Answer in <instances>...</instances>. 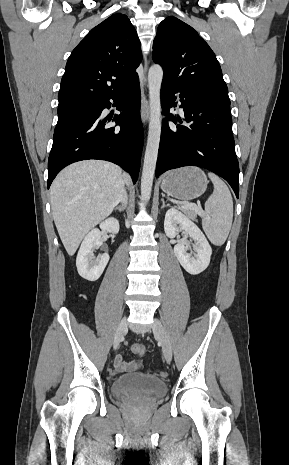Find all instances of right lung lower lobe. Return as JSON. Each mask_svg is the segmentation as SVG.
Listing matches in <instances>:
<instances>
[{"mask_svg":"<svg viewBox=\"0 0 289 465\" xmlns=\"http://www.w3.org/2000/svg\"><path fill=\"white\" fill-rule=\"evenodd\" d=\"M110 99L118 103L117 110L121 113L113 118L103 117V109L111 107ZM96 102L91 117L54 132L48 160V188L65 166L86 159L118 164L130 173L134 183L137 181L143 147L139 78ZM110 121L119 127H109Z\"/></svg>","mask_w":289,"mask_h":465,"instance_id":"right-lung-lower-lobe-1","label":"right lung lower lobe"}]
</instances>
